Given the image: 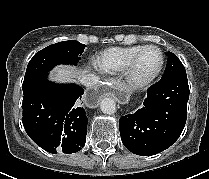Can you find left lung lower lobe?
I'll return each mask as SVG.
<instances>
[{"label":"left lung lower lobe","instance_id":"left-lung-lower-lobe-1","mask_svg":"<svg viewBox=\"0 0 209 179\" xmlns=\"http://www.w3.org/2000/svg\"><path fill=\"white\" fill-rule=\"evenodd\" d=\"M187 75L160 80L148 89L143 108L119 120L124 146L134 154L155 155L181 135L187 118Z\"/></svg>","mask_w":209,"mask_h":179}]
</instances>
